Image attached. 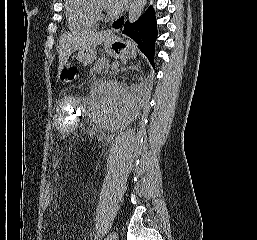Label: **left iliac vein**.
<instances>
[{
	"instance_id": "left-iliac-vein-1",
	"label": "left iliac vein",
	"mask_w": 257,
	"mask_h": 240,
	"mask_svg": "<svg viewBox=\"0 0 257 240\" xmlns=\"http://www.w3.org/2000/svg\"><path fill=\"white\" fill-rule=\"evenodd\" d=\"M118 239V235L115 231L111 232L105 240H117Z\"/></svg>"
}]
</instances>
